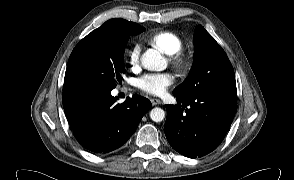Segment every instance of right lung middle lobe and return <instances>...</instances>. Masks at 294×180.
Here are the masks:
<instances>
[{
  "label": "right lung middle lobe",
  "instance_id": "obj_1",
  "mask_svg": "<svg viewBox=\"0 0 294 180\" xmlns=\"http://www.w3.org/2000/svg\"><path fill=\"white\" fill-rule=\"evenodd\" d=\"M132 35L126 32L90 33L72 51L63 92L81 88L112 90L125 73L124 51Z\"/></svg>",
  "mask_w": 294,
  "mask_h": 180
}]
</instances>
